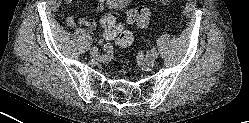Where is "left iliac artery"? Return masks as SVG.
Wrapping results in <instances>:
<instances>
[{
    "mask_svg": "<svg viewBox=\"0 0 249 123\" xmlns=\"http://www.w3.org/2000/svg\"><path fill=\"white\" fill-rule=\"evenodd\" d=\"M151 52H152V54H153V56H154L155 58L158 57V53H157V51H156L155 49H152Z\"/></svg>",
    "mask_w": 249,
    "mask_h": 123,
    "instance_id": "left-iliac-artery-1",
    "label": "left iliac artery"
}]
</instances>
